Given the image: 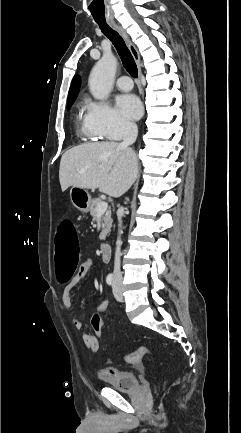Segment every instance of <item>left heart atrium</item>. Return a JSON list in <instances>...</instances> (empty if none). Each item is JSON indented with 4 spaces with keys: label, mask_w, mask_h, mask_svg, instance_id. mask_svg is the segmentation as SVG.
<instances>
[{
    "label": "left heart atrium",
    "mask_w": 241,
    "mask_h": 433,
    "mask_svg": "<svg viewBox=\"0 0 241 433\" xmlns=\"http://www.w3.org/2000/svg\"><path fill=\"white\" fill-rule=\"evenodd\" d=\"M118 111L128 119H137L142 112L139 99L132 94H124L117 98Z\"/></svg>",
    "instance_id": "39dd6f15"
}]
</instances>
